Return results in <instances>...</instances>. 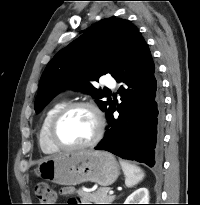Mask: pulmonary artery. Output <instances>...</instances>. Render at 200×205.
Instances as JSON below:
<instances>
[{
    "label": "pulmonary artery",
    "instance_id": "pulmonary-artery-1",
    "mask_svg": "<svg viewBox=\"0 0 200 205\" xmlns=\"http://www.w3.org/2000/svg\"><path fill=\"white\" fill-rule=\"evenodd\" d=\"M105 85L107 87L114 88L116 86V83L113 79H108L105 81Z\"/></svg>",
    "mask_w": 200,
    "mask_h": 205
}]
</instances>
